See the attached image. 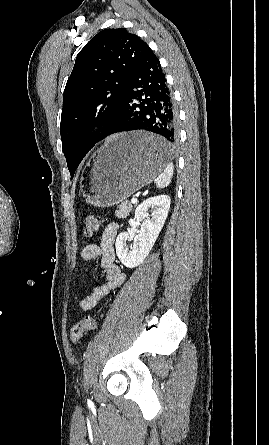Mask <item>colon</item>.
Masks as SVG:
<instances>
[{
	"label": "colon",
	"instance_id": "5ec220e1",
	"mask_svg": "<svg viewBox=\"0 0 269 445\" xmlns=\"http://www.w3.org/2000/svg\"><path fill=\"white\" fill-rule=\"evenodd\" d=\"M100 228V221L97 216L89 215L85 220L84 235L91 237L98 232ZM97 326V321L94 317L86 316L83 320L76 323L71 329V341L73 344H77L82 336L91 330H94Z\"/></svg>",
	"mask_w": 269,
	"mask_h": 445
}]
</instances>
